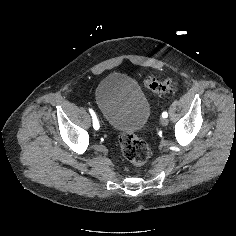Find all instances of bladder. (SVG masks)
Masks as SVG:
<instances>
[{
  "label": "bladder",
  "mask_w": 236,
  "mask_h": 236,
  "mask_svg": "<svg viewBox=\"0 0 236 236\" xmlns=\"http://www.w3.org/2000/svg\"><path fill=\"white\" fill-rule=\"evenodd\" d=\"M96 105L116 132L136 133L148 121L150 105L141 88L129 76L113 73L95 90Z\"/></svg>",
  "instance_id": "obj_1"
}]
</instances>
